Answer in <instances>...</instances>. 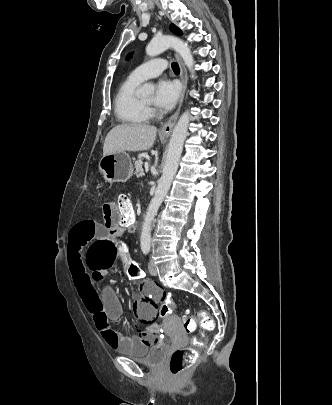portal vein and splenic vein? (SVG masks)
I'll list each match as a JSON object with an SVG mask.
<instances>
[{"label":"portal vein and splenic vein","instance_id":"18ae733b","mask_svg":"<svg viewBox=\"0 0 332 405\" xmlns=\"http://www.w3.org/2000/svg\"><path fill=\"white\" fill-rule=\"evenodd\" d=\"M145 168H146V169H148V168H149V165H148V164H146V165H145Z\"/></svg>","mask_w":332,"mask_h":405}]
</instances>
